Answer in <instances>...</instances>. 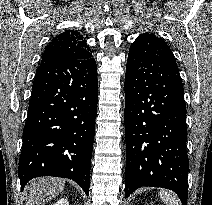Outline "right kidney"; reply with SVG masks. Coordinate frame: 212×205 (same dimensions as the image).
<instances>
[{
	"label": "right kidney",
	"mask_w": 212,
	"mask_h": 205,
	"mask_svg": "<svg viewBox=\"0 0 212 205\" xmlns=\"http://www.w3.org/2000/svg\"><path fill=\"white\" fill-rule=\"evenodd\" d=\"M54 205H69V202L67 199L62 198L58 200Z\"/></svg>",
	"instance_id": "ca27d5eb"
}]
</instances>
